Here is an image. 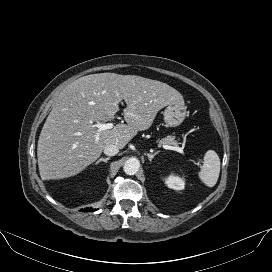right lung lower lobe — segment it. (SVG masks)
Listing matches in <instances>:
<instances>
[{"label": "right lung lower lobe", "mask_w": 272, "mask_h": 272, "mask_svg": "<svg viewBox=\"0 0 272 272\" xmlns=\"http://www.w3.org/2000/svg\"><path fill=\"white\" fill-rule=\"evenodd\" d=\"M82 212H93L94 209H91V208H85V209H82L81 210Z\"/></svg>", "instance_id": "right-lung-lower-lobe-1"}]
</instances>
